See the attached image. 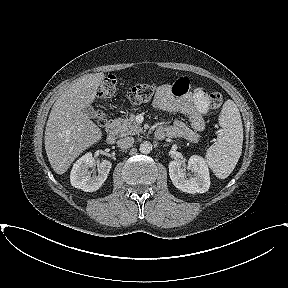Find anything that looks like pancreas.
Masks as SVG:
<instances>
[{
  "label": "pancreas",
  "instance_id": "cf45deb5",
  "mask_svg": "<svg viewBox=\"0 0 288 288\" xmlns=\"http://www.w3.org/2000/svg\"><path fill=\"white\" fill-rule=\"evenodd\" d=\"M114 124L116 126V133L120 136L135 135L142 132V128L134 120V115H130L127 119L118 118L115 119Z\"/></svg>",
  "mask_w": 288,
  "mask_h": 288
}]
</instances>
